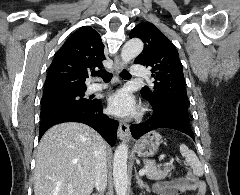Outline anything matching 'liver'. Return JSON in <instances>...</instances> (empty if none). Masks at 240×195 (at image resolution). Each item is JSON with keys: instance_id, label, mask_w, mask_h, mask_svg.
<instances>
[{"instance_id": "liver-1", "label": "liver", "mask_w": 240, "mask_h": 195, "mask_svg": "<svg viewBox=\"0 0 240 195\" xmlns=\"http://www.w3.org/2000/svg\"><path fill=\"white\" fill-rule=\"evenodd\" d=\"M103 143L101 135L85 123L67 121L50 127L38 145L35 195H90Z\"/></svg>"}]
</instances>
